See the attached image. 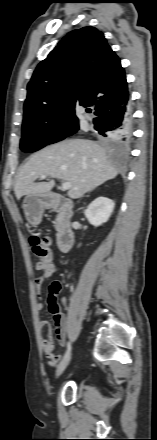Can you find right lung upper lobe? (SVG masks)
I'll use <instances>...</instances> for the list:
<instances>
[{
    "label": "right lung upper lobe",
    "mask_w": 157,
    "mask_h": 440,
    "mask_svg": "<svg viewBox=\"0 0 157 440\" xmlns=\"http://www.w3.org/2000/svg\"><path fill=\"white\" fill-rule=\"evenodd\" d=\"M27 90L23 125L78 124L77 106L92 105L100 112L129 96L120 59L94 27L69 32L37 66Z\"/></svg>",
    "instance_id": "1"
}]
</instances>
